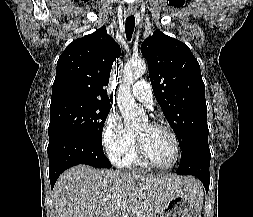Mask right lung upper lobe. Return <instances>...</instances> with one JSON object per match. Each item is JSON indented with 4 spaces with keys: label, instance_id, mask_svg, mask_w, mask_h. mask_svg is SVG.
<instances>
[{
    "label": "right lung upper lobe",
    "instance_id": "cb5924a9",
    "mask_svg": "<svg viewBox=\"0 0 253 217\" xmlns=\"http://www.w3.org/2000/svg\"><path fill=\"white\" fill-rule=\"evenodd\" d=\"M120 52L105 26L71 42L57 62L51 103L71 99L110 103L105 86Z\"/></svg>",
    "mask_w": 253,
    "mask_h": 217
}]
</instances>
